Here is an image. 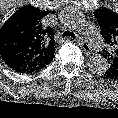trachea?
Wrapping results in <instances>:
<instances>
[{
  "label": "trachea",
  "mask_w": 118,
  "mask_h": 118,
  "mask_svg": "<svg viewBox=\"0 0 118 118\" xmlns=\"http://www.w3.org/2000/svg\"><path fill=\"white\" fill-rule=\"evenodd\" d=\"M63 37H71V38L75 39L76 38V35L73 32L65 31L63 33Z\"/></svg>",
  "instance_id": "trachea-1"
}]
</instances>
